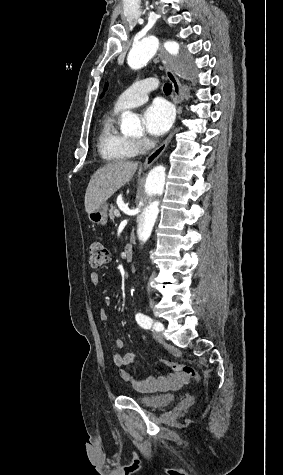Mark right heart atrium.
<instances>
[{
  "instance_id": "right-heart-atrium-1",
  "label": "right heart atrium",
  "mask_w": 283,
  "mask_h": 475,
  "mask_svg": "<svg viewBox=\"0 0 283 475\" xmlns=\"http://www.w3.org/2000/svg\"><path fill=\"white\" fill-rule=\"evenodd\" d=\"M131 148L133 149L135 153H142L148 148V140L145 138L132 140Z\"/></svg>"
}]
</instances>
